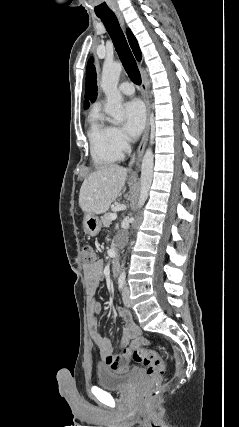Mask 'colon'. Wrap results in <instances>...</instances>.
<instances>
[{
	"label": "colon",
	"instance_id": "5ec220e1",
	"mask_svg": "<svg viewBox=\"0 0 239 427\" xmlns=\"http://www.w3.org/2000/svg\"><path fill=\"white\" fill-rule=\"evenodd\" d=\"M82 257L83 263L87 266L96 262V253L92 245H83ZM132 356L137 363L147 368L149 382L142 392V397L145 400H150L159 391L166 370L165 365L159 353L153 349H137L132 353Z\"/></svg>",
	"mask_w": 239,
	"mask_h": 427
}]
</instances>
